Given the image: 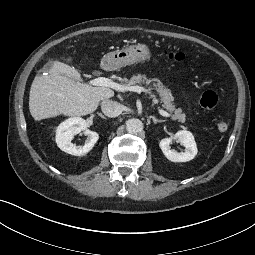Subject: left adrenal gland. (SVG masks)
<instances>
[{"mask_svg":"<svg viewBox=\"0 0 255 255\" xmlns=\"http://www.w3.org/2000/svg\"><path fill=\"white\" fill-rule=\"evenodd\" d=\"M150 118H152L154 124L162 123V122H166L167 121V120H159L155 116H150Z\"/></svg>","mask_w":255,"mask_h":255,"instance_id":"1","label":"left adrenal gland"}]
</instances>
